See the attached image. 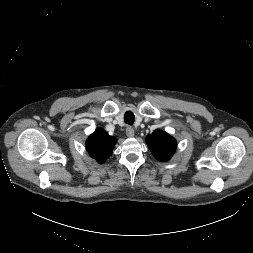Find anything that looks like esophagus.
<instances>
[{
  "label": "esophagus",
  "instance_id": "obj_1",
  "mask_svg": "<svg viewBox=\"0 0 253 253\" xmlns=\"http://www.w3.org/2000/svg\"><path fill=\"white\" fill-rule=\"evenodd\" d=\"M126 135H127L129 138L134 137V135H135L134 129H133L132 127L128 126V127L126 128Z\"/></svg>",
  "mask_w": 253,
  "mask_h": 253
}]
</instances>
